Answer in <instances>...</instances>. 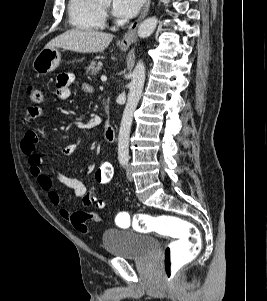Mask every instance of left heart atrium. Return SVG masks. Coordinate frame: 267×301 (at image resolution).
Segmentation results:
<instances>
[{"label":"left heart atrium","instance_id":"obj_1","mask_svg":"<svg viewBox=\"0 0 267 301\" xmlns=\"http://www.w3.org/2000/svg\"><path fill=\"white\" fill-rule=\"evenodd\" d=\"M143 0H112V13L120 18H131L139 11Z\"/></svg>","mask_w":267,"mask_h":301}]
</instances>
